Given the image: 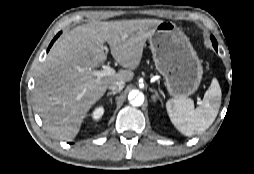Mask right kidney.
<instances>
[{
  "label": "right kidney",
  "mask_w": 254,
  "mask_h": 174,
  "mask_svg": "<svg viewBox=\"0 0 254 174\" xmlns=\"http://www.w3.org/2000/svg\"><path fill=\"white\" fill-rule=\"evenodd\" d=\"M104 113V108L102 106H99L95 108V110L92 112L91 116L94 120H99Z\"/></svg>",
  "instance_id": "right-kidney-1"
}]
</instances>
